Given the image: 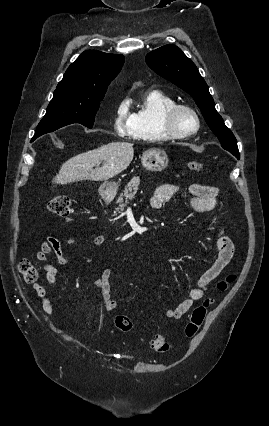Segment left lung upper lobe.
<instances>
[{"label":"left lung upper lobe","mask_w":269,"mask_h":426,"mask_svg":"<svg viewBox=\"0 0 269 426\" xmlns=\"http://www.w3.org/2000/svg\"><path fill=\"white\" fill-rule=\"evenodd\" d=\"M146 63L158 75L180 87L195 100L221 146L239 158L237 141L215 109L209 88L195 64L175 45L162 46L146 55Z\"/></svg>","instance_id":"obj_1"}]
</instances>
